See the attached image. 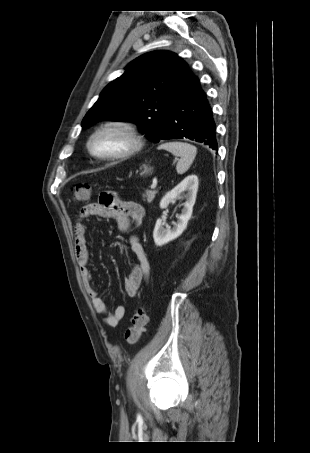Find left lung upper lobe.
Returning <instances> with one entry per match:
<instances>
[{"label":"left lung upper lobe","mask_w":310,"mask_h":453,"mask_svg":"<svg viewBox=\"0 0 310 453\" xmlns=\"http://www.w3.org/2000/svg\"><path fill=\"white\" fill-rule=\"evenodd\" d=\"M189 73L188 65L175 53H146L129 63L126 72L104 88L81 126L101 120L132 121L157 143Z\"/></svg>","instance_id":"1"}]
</instances>
